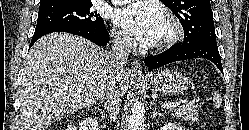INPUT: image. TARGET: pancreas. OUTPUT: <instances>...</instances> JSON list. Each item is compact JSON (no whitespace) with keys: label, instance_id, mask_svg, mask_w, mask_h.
I'll list each match as a JSON object with an SVG mask.
<instances>
[{"label":"pancreas","instance_id":"obj_1","mask_svg":"<svg viewBox=\"0 0 249 130\" xmlns=\"http://www.w3.org/2000/svg\"><path fill=\"white\" fill-rule=\"evenodd\" d=\"M198 105L195 103H185L182 106L171 109L173 116L178 118H183L185 120H189L191 122L198 121Z\"/></svg>","mask_w":249,"mask_h":130}]
</instances>
